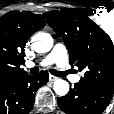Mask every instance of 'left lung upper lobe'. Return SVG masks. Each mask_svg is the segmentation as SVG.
I'll return each mask as SVG.
<instances>
[{"mask_svg": "<svg viewBox=\"0 0 114 114\" xmlns=\"http://www.w3.org/2000/svg\"><path fill=\"white\" fill-rule=\"evenodd\" d=\"M44 17L63 37L70 65L84 71L80 81L114 89V46L109 36L86 14L75 9L50 11Z\"/></svg>", "mask_w": 114, "mask_h": 114, "instance_id": "1", "label": "left lung upper lobe"}]
</instances>
